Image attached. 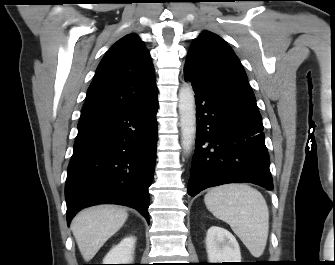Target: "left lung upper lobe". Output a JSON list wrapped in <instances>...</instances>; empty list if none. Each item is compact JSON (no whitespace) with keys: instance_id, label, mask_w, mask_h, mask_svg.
<instances>
[{"instance_id":"5c2ea615","label":"left lung upper lobe","mask_w":335,"mask_h":265,"mask_svg":"<svg viewBox=\"0 0 335 265\" xmlns=\"http://www.w3.org/2000/svg\"><path fill=\"white\" fill-rule=\"evenodd\" d=\"M184 70L192 81L258 109L242 64L218 35L204 31L194 40Z\"/></svg>"}]
</instances>
